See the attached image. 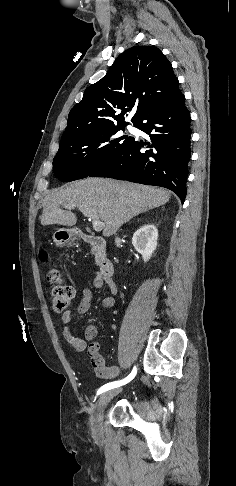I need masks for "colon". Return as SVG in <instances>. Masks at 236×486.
<instances>
[{"label": "colon", "mask_w": 236, "mask_h": 486, "mask_svg": "<svg viewBox=\"0 0 236 486\" xmlns=\"http://www.w3.org/2000/svg\"><path fill=\"white\" fill-rule=\"evenodd\" d=\"M47 280L52 284L50 295L54 310L64 311L72 302L74 288L63 282L62 273L58 269H50L47 273Z\"/></svg>", "instance_id": "5ec220e1"}]
</instances>
